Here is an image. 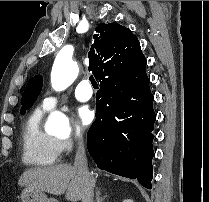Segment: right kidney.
I'll return each mask as SVG.
<instances>
[{
	"mask_svg": "<svg viewBox=\"0 0 209 202\" xmlns=\"http://www.w3.org/2000/svg\"><path fill=\"white\" fill-rule=\"evenodd\" d=\"M123 202H134L132 199H125Z\"/></svg>",
	"mask_w": 209,
	"mask_h": 202,
	"instance_id": "1",
	"label": "right kidney"
}]
</instances>
